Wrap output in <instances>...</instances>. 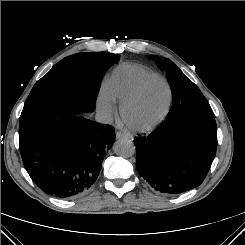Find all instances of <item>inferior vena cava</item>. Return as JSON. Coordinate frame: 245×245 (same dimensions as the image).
Masks as SVG:
<instances>
[{
	"label": "inferior vena cava",
	"mask_w": 245,
	"mask_h": 245,
	"mask_svg": "<svg viewBox=\"0 0 245 245\" xmlns=\"http://www.w3.org/2000/svg\"><path fill=\"white\" fill-rule=\"evenodd\" d=\"M95 119L97 122L102 123V124H109L112 122V117L105 112H97Z\"/></svg>",
	"instance_id": "inferior-vena-cava-1"
}]
</instances>
